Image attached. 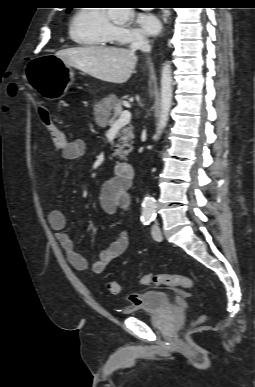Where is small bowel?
Wrapping results in <instances>:
<instances>
[{
  "instance_id": "1",
  "label": "small bowel",
  "mask_w": 255,
  "mask_h": 387,
  "mask_svg": "<svg viewBox=\"0 0 255 387\" xmlns=\"http://www.w3.org/2000/svg\"><path fill=\"white\" fill-rule=\"evenodd\" d=\"M85 151V141L82 139H74L68 142L67 147L63 151H60L59 155L61 159L71 161L83 156ZM128 188L129 183L117 177L106 181L101 187L99 196L103 211L109 215H113L118 209H128L130 206ZM48 222L55 232V237L61 245L67 260L73 268L79 271L87 270L89 268L87 259L75 249L72 239L65 231L66 218L63 212L57 209L50 211L48 214ZM129 246L130 239L128 233L124 230L120 231L109 246L101 251L98 260L93 262L91 271L94 274H101L110 262L124 255ZM140 301L138 296H131L129 298L130 306H136Z\"/></svg>"
}]
</instances>
